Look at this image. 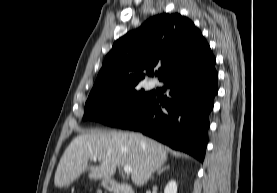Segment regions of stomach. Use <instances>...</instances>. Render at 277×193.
I'll list each match as a JSON object with an SVG mask.
<instances>
[{"mask_svg":"<svg viewBox=\"0 0 277 193\" xmlns=\"http://www.w3.org/2000/svg\"><path fill=\"white\" fill-rule=\"evenodd\" d=\"M108 180L107 179H104L103 181H102V185L104 186V187H108Z\"/></svg>","mask_w":277,"mask_h":193,"instance_id":"obj_1","label":"stomach"}]
</instances>
